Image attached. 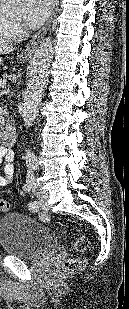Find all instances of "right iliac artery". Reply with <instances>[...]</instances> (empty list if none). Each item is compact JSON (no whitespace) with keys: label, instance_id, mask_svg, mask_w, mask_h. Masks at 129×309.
<instances>
[{"label":"right iliac artery","instance_id":"right-iliac-artery-1","mask_svg":"<svg viewBox=\"0 0 129 309\" xmlns=\"http://www.w3.org/2000/svg\"><path fill=\"white\" fill-rule=\"evenodd\" d=\"M34 179V175H33V171L30 170L27 174V180H26V184L24 185V190L25 191H30L31 187H32V182Z\"/></svg>","mask_w":129,"mask_h":309}]
</instances>
